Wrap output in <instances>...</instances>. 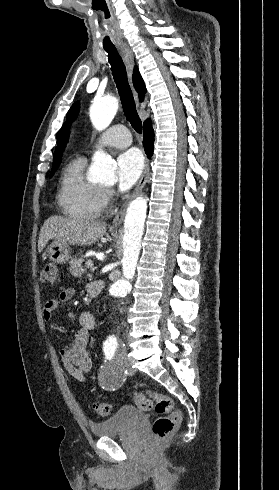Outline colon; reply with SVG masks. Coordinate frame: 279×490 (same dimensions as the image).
Segmentation results:
<instances>
[{"label": "colon", "mask_w": 279, "mask_h": 490, "mask_svg": "<svg viewBox=\"0 0 279 490\" xmlns=\"http://www.w3.org/2000/svg\"><path fill=\"white\" fill-rule=\"evenodd\" d=\"M56 279V265L52 262L44 265L39 274L40 282L55 283ZM133 400L136 406L143 411H150L152 404L155 403L158 417L152 426L154 441L172 442L176 424L182 418V412L177 409L174 400L170 396L154 392L136 394ZM92 407L93 412L98 416H109L114 411V404L108 401H95Z\"/></svg>", "instance_id": "obj_1"}]
</instances>
